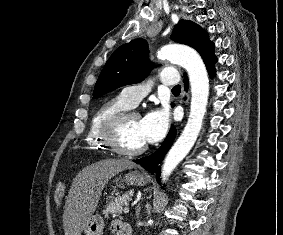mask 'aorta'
<instances>
[{
  "mask_svg": "<svg viewBox=\"0 0 283 235\" xmlns=\"http://www.w3.org/2000/svg\"><path fill=\"white\" fill-rule=\"evenodd\" d=\"M160 59H169L182 66L189 75L191 105L187 124L165 157L161 178L166 181L176 166L189 153L200 133L209 96V79L200 55L192 48L170 44L158 51Z\"/></svg>",
  "mask_w": 283,
  "mask_h": 235,
  "instance_id": "obj_1",
  "label": "aorta"
}]
</instances>
